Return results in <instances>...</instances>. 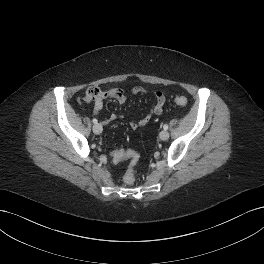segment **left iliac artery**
<instances>
[{
	"label": "left iliac artery",
	"mask_w": 264,
	"mask_h": 264,
	"mask_svg": "<svg viewBox=\"0 0 264 264\" xmlns=\"http://www.w3.org/2000/svg\"><path fill=\"white\" fill-rule=\"evenodd\" d=\"M163 128H164L165 130H167V129H168V125L165 124V125L163 126Z\"/></svg>",
	"instance_id": "1"
}]
</instances>
